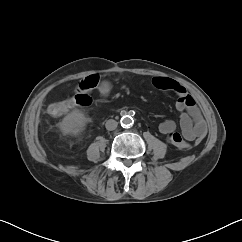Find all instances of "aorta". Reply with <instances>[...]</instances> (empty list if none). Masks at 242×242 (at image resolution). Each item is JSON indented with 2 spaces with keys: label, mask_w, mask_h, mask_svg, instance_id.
I'll return each instance as SVG.
<instances>
[{
  "label": "aorta",
  "mask_w": 242,
  "mask_h": 242,
  "mask_svg": "<svg viewBox=\"0 0 242 242\" xmlns=\"http://www.w3.org/2000/svg\"><path fill=\"white\" fill-rule=\"evenodd\" d=\"M133 118L129 115H124L122 118H121V125L123 127H130L133 125Z\"/></svg>",
  "instance_id": "1"
}]
</instances>
